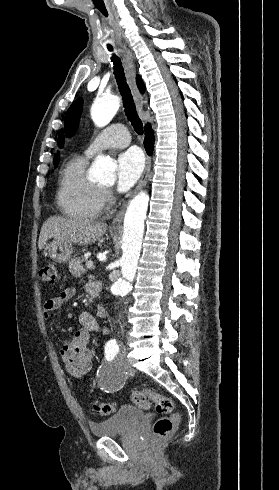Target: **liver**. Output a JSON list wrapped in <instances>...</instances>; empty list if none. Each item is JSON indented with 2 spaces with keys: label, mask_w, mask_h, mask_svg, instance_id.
I'll return each instance as SVG.
<instances>
[{
  "label": "liver",
  "mask_w": 279,
  "mask_h": 490,
  "mask_svg": "<svg viewBox=\"0 0 279 490\" xmlns=\"http://www.w3.org/2000/svg\"><path fill=\"white\" fill-rule=\"evenodd\" d=\"M107 224H99L85 218H59L51 216L44 222L39 240L38 248L43 250L48 240L54 238L57 242H68V244H91L97 242L105 234Z\"/></svg>",
  "instance_id": "1"
}]
</instances>
